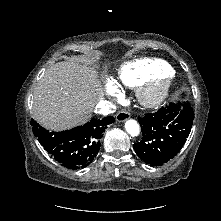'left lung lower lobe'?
<instances>
[{
	"instance_id": "left-lung-lower-lobe-1",
	"label": "left lung lower lobe",
	"mask_w": 221,
	"mask_h": 221,
	"mask_svg": "<svg viewBox=\"0 0 221 221\" xmlns=\"http://www.w3.org/2000/svg\"><path fill=\"white\" fill-rule=\"evenodd\" d=\"M189 103H172L166 109L145 114L138 121L143 138L133 145L136 154L151 166H161L183 147L193 124Z\"/></svg>"
}]
</instances>
